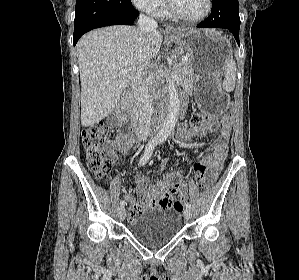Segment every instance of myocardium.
Returning a JSON list of instances; mask_svg holds the SVG:
<instances>
[{
  "mask_svg": "<svg viewBox=\"0 0 299 280\" xmlns=\"http://www.w3.org/2000/svg\"><path fill=\"white\" fill-rule=\"evenodd\" d=\"M166 7H167V11L169 12V14L179 20H182V21L188 22V23H199V22H202L203 20H205L210 15L211 10H212V0H206V10L200 17H197V18H188V17L184 16L183 14H181L173 6L171 0H166Z\"/></svg>",
  "mask_w": 299,
  "mask_h": 280,
  "instance_id": "1",
  "label": "myocardium"
}]
</instances>
